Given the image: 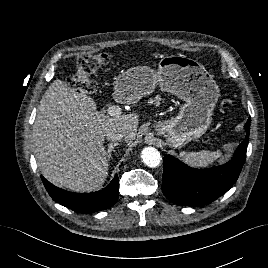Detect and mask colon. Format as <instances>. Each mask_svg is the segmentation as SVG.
Returning <instances> with one entry per match:
<instances>
[{
	"label": "colon",
	"instance_id": "5ec220e1",
	"mask_svg": "<svg viewBox=\"0 0 268 268\" xmlns=\"http://www.w3.org/2000/svg\"><path fill=\"white\" fill-rule=\"evenodd\" d=\"M108 61L109 58L106 54H92L81 58L77 63L75 73L67 79L68 86L93 95L97 84L92 79V75L105 66Z\"/></svg>",
	"mask_w": 268,
	"mask_h": 268
}]
</instances>
